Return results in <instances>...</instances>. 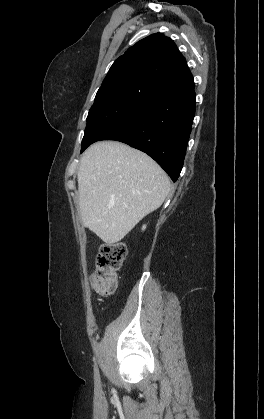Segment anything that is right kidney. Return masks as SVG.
Masks as SVG:
<instances>
[{
  "label": "right kidney",
  "instance_id": "obj_1",
  "mask_svg": "<svg viewBox=\"0 0 264 419\" xmlns=\"http://www.w3.org/2000/svg\"><path fill=\"white\" fill-rule=\"evenodd\" d=\"M146 228V226H143V229H145Z\"/></svg>",
  "mask_w": 264,
  "mask_h": 419
}]
</instances>
